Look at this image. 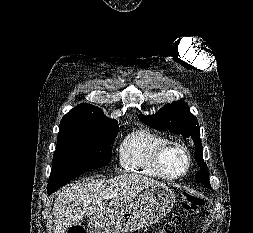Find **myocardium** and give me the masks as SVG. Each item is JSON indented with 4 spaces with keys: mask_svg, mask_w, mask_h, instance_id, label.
Returning <instances> with one entry per match:
<instances>
[{
    "mask_svg": "<svg viewBox=\"0 0 253 233\" xmlns=\"http://www.w3.org/2000/svg\"><path fill=\"white\" fill-rule=\"evenodd\" d=\"M175 153L182 154L185 158L186 164L183 171L179 173H169L167 171V162L170 156ZM153 164L162 177L170 180L180 179L189 173L192 166V156L185 146L176 143H168L155 153L153 157Z\"/></svg>",
    "mask_w": 253,
    "mask_h": 233,
    "instance_id": "myocardium-1",
    "label": "myocardium"
}]
</instances>
